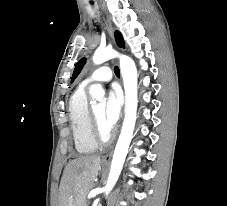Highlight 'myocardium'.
I'll return each instance as SVG.
<instances>
[{"label":"myocardium","mask_w":227,"mask_h":206,"mask_svg":"<svg viewBox=\"0 0 227 206\" xmlns=\"http://www.w3.org/2000/svg\"><path fill=\"white\" fill-rule=\"evenodd\" d=\"M89 112H90L91 132L94 140L97 142V144H101V145H105L109 143L113 137V131L110 130L107 134H103L93 109H90Z\"/></svg>","instance_id":"myocardium-1"}]
</instances>
